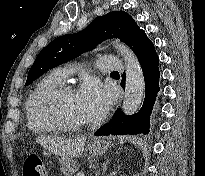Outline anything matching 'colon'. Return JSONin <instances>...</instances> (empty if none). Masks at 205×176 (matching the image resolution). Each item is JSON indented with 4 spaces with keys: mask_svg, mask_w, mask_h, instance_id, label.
I'll use <instances>...</instances> for the list:
<instances>
[{
    "mask_svg": "<svg viewBox=\"0 0 205 176\" xmlns=\"http://www.w3.org/2000/svg\"><path fill=\"white\" fill-rule=\"evenodd\" d=\"M23 176H45V163L39 158H32L26 161L22 168Z\"/></svg>",
    "mask_w": 205,
    "mask_h": 176,
    "instance_id": "obj_1",
    "label": "colon"
}]
</instances>
